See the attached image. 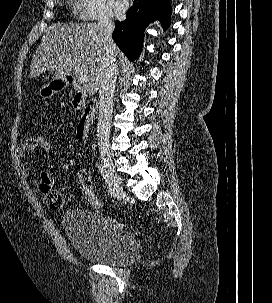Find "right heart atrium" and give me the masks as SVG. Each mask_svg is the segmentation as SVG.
Segmentation results:
<instances>
[{"mask_svg": "<svg viewBox=\"0 0 272 303\" xmlns=\"http://www.w3.org/2000/svg\"><path fill=\"white\" fill-rule=\"evenodd\" d=\"M81 15L90 21H109L111 9L109 0H79Z\"/></svg>", "mask_w": 272, "mask_h": 303, "instance_id": "1", "label": "right heart atrium"}]
</instances>
